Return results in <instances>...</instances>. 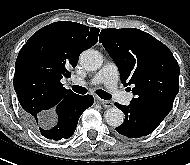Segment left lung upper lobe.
<instances>
[{"mask_svg": "<svg viewBox=\"0 0 190 165\" xmlns=\"http://www.w3.org/2000/svg\"><path fill=\"white\" fill-rule=\"evenodd\" d=\"M116 63L132 103L171 111L179 91V66L171 51L152 35L135 28L103 29L99 36Z\"/></svg>", "mask_w": 190, "mask_h": 165, "instance_id": "5c2ea615", "label": "left lung upper lobe"}]
</instances>
